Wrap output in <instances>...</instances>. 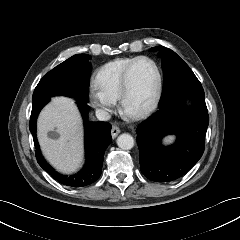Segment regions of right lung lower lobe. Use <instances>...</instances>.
Wrapping results in <instances>:
<instances>
[{"label":"right lung lower lobe","instance_id":"obj_1","mask_svg":"<svg viewBox=\"0 0 240 240\" xmlns=\"http://www.w3.org/2000/svg\"><path fill=\"white\" fill-rule=\"evenodd\" d=\"M50 101V97H42L33 101L29 129L33 135L38 164L59 183L71 187H83L95 182L101 175L104 153L112 141L111 124L105 122H89L87 102L77 101L84 118L85 154L84 168L74 175H63L56 172L43 158L36 138V120L42 107Z\"/></svg>","mask_w":240,"mask_h":240}]
</instances>
